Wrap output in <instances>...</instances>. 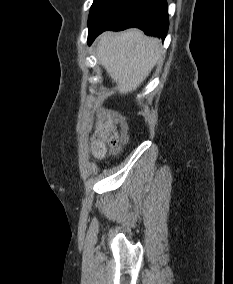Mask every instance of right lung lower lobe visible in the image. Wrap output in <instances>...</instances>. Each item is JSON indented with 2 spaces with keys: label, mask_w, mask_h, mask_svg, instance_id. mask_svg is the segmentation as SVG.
Here are the masks:
<instances>
[{
  "label": "right lung lower lobe",
  "mask_w": 233,
  "mask_h": 284,
  "mask_svg": "<svg viewBox=\"0 0 233 284\" xmlns=\"http://www.w3.org/2000/svg\"><path fill=\"white\" fill-rule=\"evenodd\" d=\"M168 25L165 0H112L89 25L88 43L91 44L103 31H119L131 27L164 39Z\"/></svg>",
  "instance_id": "1"
}]
</instances>
